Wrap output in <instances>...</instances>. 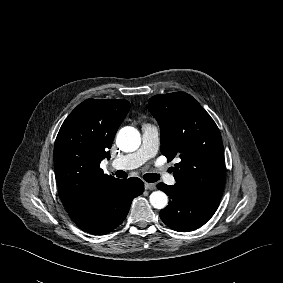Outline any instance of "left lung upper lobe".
<instances>
[{"label": "left lung upper lobe", "instance_id": "5c2ea615", "mask_svg": "<svg viewBox=\"0 0 283 283\" xmlns=\"http://www.w3.org/2000/svg\"><path fill=\"white\" fill-rule=\"evenodd\" d=\"M148 109L159 123L161 152L175 164L176 183L197 195L219 201L225 184V161L220 131L189 94L175 92L150 98Z\"/></svg>", "mask_w": 283, "mask_h": 283}]
</instances>
